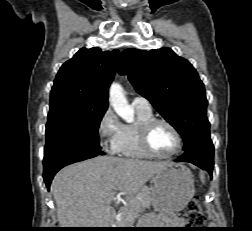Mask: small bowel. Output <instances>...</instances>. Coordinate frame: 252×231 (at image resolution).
Returning a JSON list of instances; mask_svg holds the SVG:
<instances>
[{"mask_svg":"<svg viewBox=\"0 0 252 231\" xmlns=\"http://www.w3.org/2000/svg\"><path fill=\"white\" fill-rule=\"evenodd\" d=\"M155 231H164V230H155Z\"/></svg>","mask_w":252,"mask_h":231,"instance_id":"obj_1","label":"small bowel"}]
</instances>
